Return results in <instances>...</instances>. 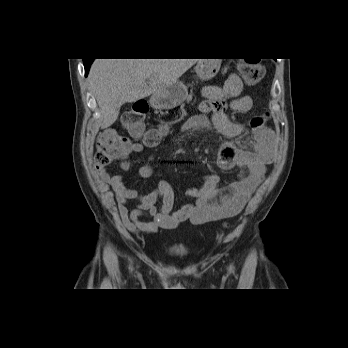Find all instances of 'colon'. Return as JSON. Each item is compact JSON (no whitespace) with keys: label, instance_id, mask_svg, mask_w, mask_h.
<instances>
[{"label":"colon","instance_id":"obj_1","mask_svg":"<svg viewBox=\"0 0 348 348\" xmlns=\"http://www.w3.org/2000/svg\"><path fill=\"white\" fill-rule=\"evenodd\" d=\"M239 70L244 81L250 85L259 83L265 72L264 65L259 59H242L239 62ZM148 104L143 101L135 102L123 115L122 126L137 139L145 144L154 145L167 133L168 127L160 125L146 129L144 119L148 113ZM266 122L265 115H257L251 119V126L261 128ZM131 141L118 133L115 129L102 132L98 138L95 162L97 166L105 167L114 160L123 159L131 149Z\"/></svg>","mask_w":348,"mask_h":348}]
</instances>
